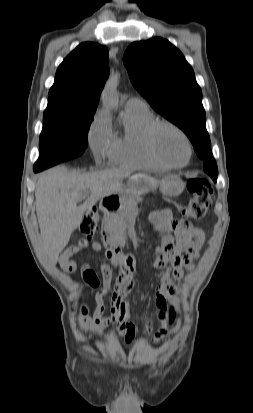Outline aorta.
I'll list each match as a JSON object with an SVG mask.
<instances>
[{"label": "aorta", "mask_w": 253, "mask_h": 413, "mask_svg": "<svg viewBox=\"0 0 253 413\" xmlns=\"http://www.w3.org/2000/svg\"><path fill=\"white\" fill-rule=\"evenodd\" d=\"M118 83V75H113L106 84V87L102 94V102L106 107H114L118 103V97L116 93V86Z\"/></svg>", "instance_id": "762f6f07"}]
</instances>
